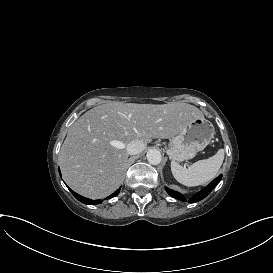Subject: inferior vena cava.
<instances>
[{"mask_svg": "<svg viewBox=\"0 0 273 273\" xmlns=\"http://www.w3.org/2000/svg\"><path fill=\"white\" fill-rule=\"evenodd\" d=\"M145 147L146 144L143 141L136 139L128 143L126 149L128 154L135 155L142 152Z\"/></svg>", "mask_w": 273, "mask_h": 273, "instance_id": "obj_1", "label": "inferior vena cava"}]
</instances>
